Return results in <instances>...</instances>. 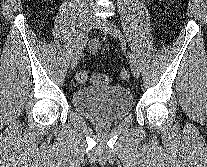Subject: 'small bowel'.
Returning <instances> with one entry per match:
<instances>
[{
  "mask_svg": "<svg viewBox=\"0 0 207 167\" xmlns=\"http://www.w3.org/2000/svg\"><path fill=\"white\" fill-rule=\"evenodd\" d=\"M100 44L97 40H93L90 44H89V51L92 54H97L100 51Z\"/></svg>",
  "mask_w": 207,
  "mask_h": 167,
  "instance_id": "small-bowel-1",
  "label": "small bowel"
}]
</instances>
